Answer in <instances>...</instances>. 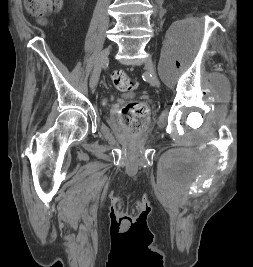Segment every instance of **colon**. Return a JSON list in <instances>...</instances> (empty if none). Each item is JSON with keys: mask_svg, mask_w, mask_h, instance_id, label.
<instances>
[{"mask_svg": "<svg viewBox=\"0 0 253 267\" xmlns=\"http://www.w3.org/2000/svg\"><path fill=\"white\" fill-rule=\"evenodd\" d=\"M27 11L37 17H43L61 9L62 0H24ZM112 81L120 90H130L136 87V82L129 75L116 70L112 73ZM148 109L144 103H126L120 113V123L132 134H139L145 124Z\"/></svg>", "mask_w": 253, "mask_h": 267, "instance_id": "colon-1", "label": "colon"}]
</instances>
